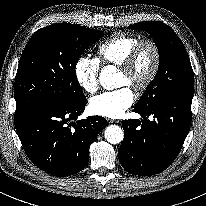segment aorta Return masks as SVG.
Here are the masks:
<instances>
[{"mask_svg": "<svg viewBox=\"0 0 206 206\" xmlns=\"http://www.w3.org/2000/svg\"><path fill=\"white\" fill-rule=\"evenodd\" d=\"M116 76V68L113 66L105 67L99 76L100 84L105 89L114 87V78ZM105 139L111 144H118L124 138L123 130L117 125H109L104 132Z\"/></svg>", "mask_w": 206, "mask_h": 206, "instance_id": "obj_1", "label": "aorta"}]
</instances>
